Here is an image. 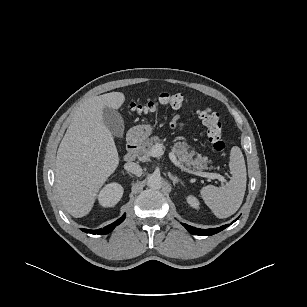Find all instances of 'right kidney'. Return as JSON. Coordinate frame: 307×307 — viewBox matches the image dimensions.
I'll return each instance as SVG.
<instances>
[{
	"label": "right kidney",
	"instance_id": "ca27d5eb",
	"mask_svg": "<svg viewBox=\"0 0 307 307\" xmlns=\"http://www.w3.org/2000/svg\"><path fill=\"white\" fill-rule=\"evenodd\" d=\"M123 192L121 184L109 183L98 194L99 204L103 207H113L120 201Z\"/></svg>",
	"mask_w": 307,
	"mask_h": 307
}]
</instances>
